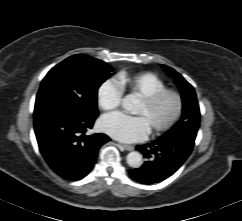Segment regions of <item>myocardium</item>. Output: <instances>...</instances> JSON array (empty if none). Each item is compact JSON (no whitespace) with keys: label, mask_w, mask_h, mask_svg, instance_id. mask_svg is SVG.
I'll return each mask as SVG.
<instances>
[{"label":"myocardium","mask_w":242,"mask_h":221,"mask_svg":"<svg viewBox=\"0 0 242 221\" xmlns=\"http://www.w3.org/2000/svg\"><path fill=\"white\" fill-rule=\"evenodd\" d=\"M165 97H170L174 102V109L171 116L163 123L150 127L152 134H161L170 130L179 120L183 110V100L179 92L174 89L164 88L152 94L141 97V101L147 108H152Z\"/></svg>","instance_id":"myocardium-1"}]
</instances>
